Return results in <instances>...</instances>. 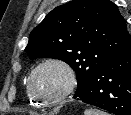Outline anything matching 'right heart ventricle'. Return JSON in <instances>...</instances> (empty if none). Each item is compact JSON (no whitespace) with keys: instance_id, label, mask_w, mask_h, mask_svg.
I'll return each instance as SVG.
<instances>
[{"instance_id":"e07e8e85","label":"right heart ventricle","mask_w":131,"mask_h":115,"mask_svg":"<svg viewBox=\"0 0 131 115\" xmlns=\"http://www.w3.org/2000/svg\"><path fill=\"white\" fill-rule=\"evenodd\" d=\"M26 92H27V96H28V99H29L30 102H32V103H38L37 101H35V100L29 95V93H28V91H27V88H26Z\"/></svg>"}]
</instances>
